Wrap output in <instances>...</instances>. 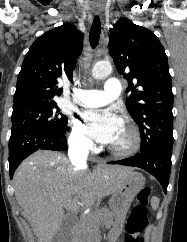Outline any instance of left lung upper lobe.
<instances>
[{
	"mask_svg": "<svg viewBox=\"0 0 187 242\" xmlns=\"http://www.w3.org/2000/svg\"><path fill=\"white\" fill-rule=\"evenodd\" d=\"M108 46L118 73L128 81L126 108L140 129V151L172 146L173 93L162 44L150 30L121 18Z\"/></svg>",
	"mask_w": 187,
	"mask_h": 242,
	"instance_id": "5c2ea615",
	"label": "left lung upper lobe"
}]
</instances>
